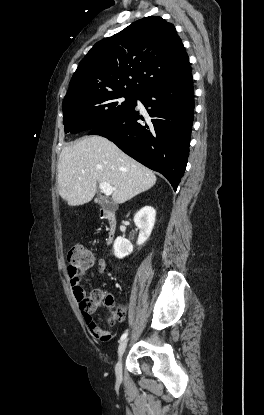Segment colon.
Segmentation results:
<instances>
[{
  "label": "colon",
  "mask_w": 264,
  "mask_h": 415,
  "mask_svg": "<svg viewBox=\"0 0 264 415\" xmlns=\"http://www.w3.org/2000/svg\"><path fill=\"white\" fill-rule=\"evenodd\" d=\"M92 264L93 255L89 249L81 246H73L69 250L67 265L70 274H74L80 268H88ZM100 304L106 306L110 320L121 322L125 319L124 308L116 304L110 295H106L101 290L94 288L85 299L80 301V308L89 321V324L92 323L90 313Z\"/></svg>",
  "instance_id": "colon-1"
}]
</instances>
